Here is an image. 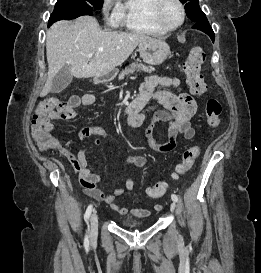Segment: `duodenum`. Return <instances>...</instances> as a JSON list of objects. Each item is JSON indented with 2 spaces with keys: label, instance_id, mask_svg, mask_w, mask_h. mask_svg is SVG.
Listing matches in <instances>:
<instances>
[{
  "label": "duodenum",
  "instance_id": "1",
  "mask_svg": "<svg viewBox=\"0 0 261 273\" xmlns=\"http://www.w3.org/2000/svg\"><path fill=\"white\" fill-rule=\"evenodd\" d=\"M144 103V99L138 98L125 108V111L128 114L129 124L132 127H138L144 123L146 118L145 114L142 111Z\"/></svg>",
  "mask_w": 261,
  "mask_h": 273
}]
</instances>
